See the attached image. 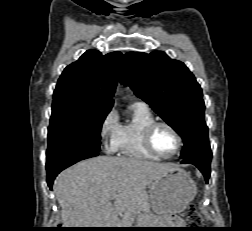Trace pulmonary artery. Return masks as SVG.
Returning a JSON list of instances; mask_svg holds the SVG:
<instances>
[{"mask_svg":"<svg viewBox=\"0 0 252 231\" xmlns=\"http://www.w3.org/2000/svg\"><path fill=\"white\" fill-rule=\"evenodd\" d=\"M135 105H143V106H147L144 102H136Z\"/></svg>","mask_w":252,"mask_h":231,"instance_id":"e3ab8cb5","label":"pulmonary artery"}]
</instances>
